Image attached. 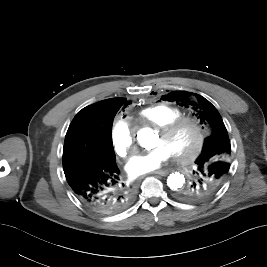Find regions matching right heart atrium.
Returning <instances> with one entry per match:
<instances>
[{
  "mask_svg": "<svg viewBox=\"0 0 267 267\" xmlns=\"http://www.w3.org/2000/svg\"><path fill=\"white\" fill-rule=\"evenodd\" d=\"M111 141L114 152L118 157L124 158L129 154L134 143V131L126 118L117 116L114 119Z\"/></svg>",
  "mask_w": 267,
  "mask_h": 267,
  "instance_id": "1",
  "label": "right heart atrium"
}]
</instances>
